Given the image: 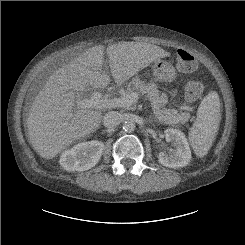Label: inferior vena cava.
Instances as JSON below:
<instances>
[{"mask_svg":"<svg viewBox=\"0 0 245 245\" xmlns=\"http://www.w3.org/2000/svg\"><path fill=\"white\" fill-rule=\"evenodd\" d=\"M122 122V115L116 111H110L104 115L103 124L107 128L118 126Z\"/></svg>","mask_w":245,"mask_h":245,"instance_id":"obj_1","label":"inferior vena cava"}]
</instances>
